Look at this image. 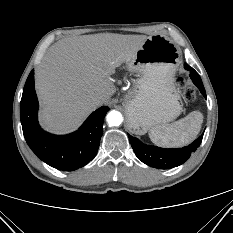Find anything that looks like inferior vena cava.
<instances>
[{
	"label": "inferior vena cava",
	"mask_w": 233,
	"mask_h": 233,
	"mask_svg": "<svg viewBox=\"0 0 233 233\" xmlns=\"http://www.w3.org/2000/svg\"><path fill=\"white\" fill-rule=\"evenodd\" d=\"M102 98H103V96H102V95H99V94L95 96V99H96V100H101Z\"/></svg>",
	"instance_id": "1"
}]
</instances>
